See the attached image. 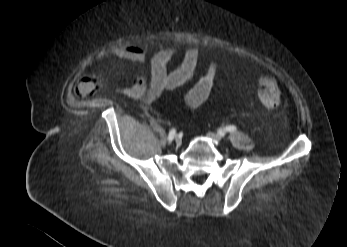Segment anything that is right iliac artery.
<instances>
[{
    "label": "right iliac artery",
    "instance_id": "obj_1",
    "mask_svg": "<svg viewBox=\"0 0 347 247\" xmlns=\"http://www.w3.org/2000/svg\"><path fill=\"white\" fill-rule=\"evenodd\" d=\"M176 134V130L173 128L170 130L169 135H168V141L171 142L174 139V136Z\"/></svg>",
    "mask_w": 347,
    "mask_h": 247
}]
</instances>
